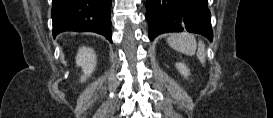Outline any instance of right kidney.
Wrapping results in <instances>:
<instances>
[{
	"label": "right kidney",
	"instance_id": "obj_1",
	"mask_svg": "<svg viewBox=\"0 0 273 118\" xmlns=\"http://www.w3.org/2000/svg\"><path fill=\"white\" fill-rule=\"evenodd\" d=\"M96 63V54L92 48H79L76 56V64L77 66H80L83 71V76H81V82H84L87 77H89L93 73L96 67Z\"/></svg>",
	"mask_w": 273,
	"mask_h": 118
}]
</instances>
